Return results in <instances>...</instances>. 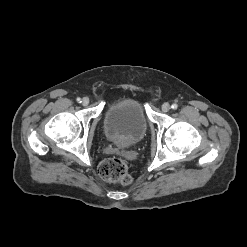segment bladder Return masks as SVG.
I'll return each mask as SVG.
<instances>
[{
    "label": "bladder",
    "instance_id": "obj_1",
    "mask_svg": "<svg viewBox=\"0 0 247 247\" xmlns=\"http://www.w3.org/2000/svg\"><path fill=\"white\" fill-rule=\"evenodd\" d=\"M148 129V119L142 103L133 97L119 99L107 108L104 130L111 142L128 146L140 141Z\"/></svg>",
    "mask_w": 247,
    "mask_h": 247
}]
</instances>
